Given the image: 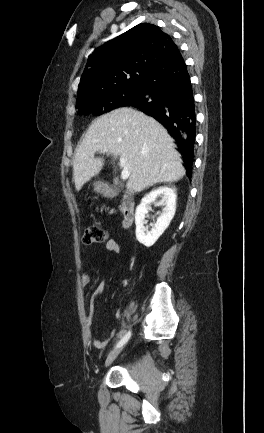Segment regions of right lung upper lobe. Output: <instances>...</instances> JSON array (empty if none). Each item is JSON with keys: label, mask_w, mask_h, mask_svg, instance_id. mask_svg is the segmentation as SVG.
Wrapping results in <instances>:
<instances>
[{"label": "right lung upper lobe", "mask_w": 264, "mask_h": 433, "mask_svg": "<svg viewBox=\"0 0 264 433\" xmlns=\"http://www.w3.org/2000/svg\"><path fill=\"white\" fill-rule=\"evenodd\" d=\"M178 51L157 26L141 23L97 48L89 56L79 84L78 100L126 85L140 84Z\"/></svg>", "instance_id": "right-lung-upper-lobe-1"}]
</instances>
